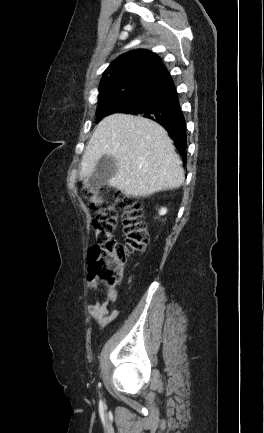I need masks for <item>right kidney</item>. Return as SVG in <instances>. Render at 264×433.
Instances as JSON below:
<instances>
[{
    "mask_svg": "<svg viewBox=\"0 0 264 433\" xmlns=\"http://www.w3.org/2000/svg\"><path fill=\"white\" fill-rule=\"evenodd\" d=\"M167 212L166 208H161V210L159 211L160 215H164Z\"/></svg>",
    "mask_w": 264,
    "mask_h": 433,
    "instance_id": "1",
    "label": "right kidney"
}]
</instances>
